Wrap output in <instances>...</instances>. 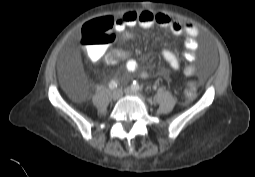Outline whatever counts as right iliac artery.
I'll return each mask as SVG.
<instances>
[{
    "instance_id": "82829eb1",
    "label": "right iliac artery",
    "mask_w": 255,
    "mask_h": 177,
    "mask_svg": "<svg viewBox=\"0 0 255 177\" xmlns=\"http://www.w3.org/2000/svg\"><path fill=\"white\" fill-rule=\"evenodd\" d=\"M117 87V82L115 80H112L110 83H109V88L111 90H114L115 88Z\"/></svg>"
}]
</instances>
